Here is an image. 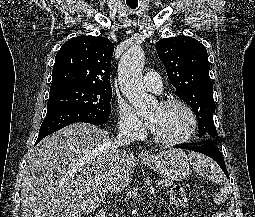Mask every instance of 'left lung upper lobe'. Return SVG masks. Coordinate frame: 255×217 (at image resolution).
I'll return each mask as SVG.
<instances>
[{"label": "left lung upper lobe", "mask_w": 255, "mask_h": 217, "mask_svg": "<svg viewBox=\"0 0 255 217\" xmlns=\"http://www.w3.org/2000/svg\"><path fill=\"white\" fill-rule=\"evenodd\" d=\"M158 56L176 94L193 109L199 121V137L215 140V102L209 76L207 50L194 38L180 35L156 43Z\"/></svg>", "instance_id": "obj_1"}]
</instances>
